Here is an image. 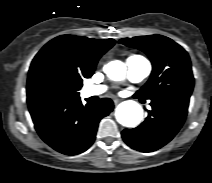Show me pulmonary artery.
Here are the masks:
<instances>
[{
  "label": "pulmonary artery",
  "mask_w": 212,
  "mask_h": 183,
  "mask_svg": "<svg viewBox=\"0 0 212 183\" xmlns=\"http://www.w3.org/2000/svg\"><path fill=\"white\" fill-rule=\"evenodd\" d=\"M127 76L133 83L141 82L151 72L150 62L142 56H131L126 60ZM106 91V86H87L83 89V95L85 97L98 96Z\"/></svg>",
  "instance_id": "1"
}]
</instances>
